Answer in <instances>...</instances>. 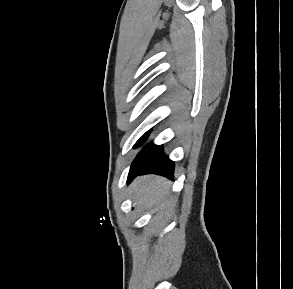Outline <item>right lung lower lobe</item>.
<instances>
[{"label": "right lung lower lobe", "mask_w": 293, "mask_h": 289, "mask_svg": "<svg viewBox=\"0 0 293 289\" xmlns=\"http://www.w3.org/2000/svg\"><path fill=\"white\" fill-rule=\"evenodd\" d=\"M142 142L137 144L139 146ZM174 162L163 154L162 146L150 144L135 158L131 165L128 179L141 174L156 173L173 178Z\"/></svg>", "instance_id": "98d812e1"}]
</instances>
